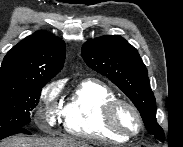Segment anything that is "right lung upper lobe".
<instances>
[{"instance_id": "right-lung-upper-lobe-1", "label": "right lung upper lobe", "mask_w": 183, "mask_h": 147, "mask_svg": "<svg viewBox=\"0 0 183 147\" xmlns=\"http://www.w3.org/2000/svg\"><path fill=\"white\" fill-rule=\"evenodd\" d=\"M65 44L56 36L38 31L23 39L4 57L0 68V86L49 81L61 69Z\"/></svg>"}]
</instances>
